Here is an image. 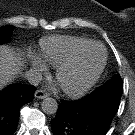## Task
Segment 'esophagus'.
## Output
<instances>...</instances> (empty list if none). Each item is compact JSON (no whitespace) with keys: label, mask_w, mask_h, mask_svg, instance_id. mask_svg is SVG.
Returning a JSON list of instances; mask_svg holds the SVG:
<instances>
[{"label":"esophagus","mask_w":135,"mask_h":135,"mask_svg":"<svg viewBox=\"0 0 135 135\" xmlns=\"http://www.w3.org/2000/svg\"><path fill=\"white\" fill-rule=\"evenodd\" d=\"M48 95H49V94H48L46 91H44V90H37V91L35 92V98H37V99H44V98H46Z\"/></svg>","instance_id":"34e87169"}]
</instances>
